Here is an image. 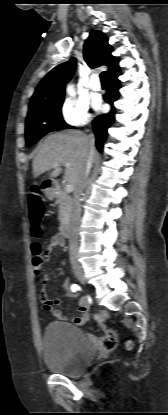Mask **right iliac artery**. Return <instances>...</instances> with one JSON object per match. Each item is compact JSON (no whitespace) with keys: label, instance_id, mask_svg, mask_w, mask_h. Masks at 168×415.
Instances as JSON below:
<instances>
[{"label":"right iliac artery","instance_id":"82829eb1","mask_svg":"<svg viewBox=\"0 0 168 415\" xmlns=\"http://www.w3.org/2000/svg\"><path fill=\"white\" fill-rule=\"evenodd\" d=\"M80 289V287L77 284H72L71 285V291L72 292H77Z\"/></svg>","mask_w":168,"mask_h":415}]
</instances>
